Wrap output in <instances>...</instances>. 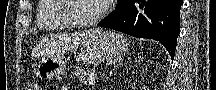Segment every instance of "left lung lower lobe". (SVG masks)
Listing matches in <instances>:
<instances>
[{"label": "left lung lower lobe", "instance_id": "obj_1", "mask_svg": "<svg viewBox=\"0 0 216 90\" xmlns=\"http://www.w3.org/2000/svg\"><path fill=\"white\" fill-rule=\"evenodd\" d=\"M182 3V0H118L116 10L97 26L157 40L173 59Z\"/></svg>", "mask_w": 216, "mask_h": 90}]
</instances>
